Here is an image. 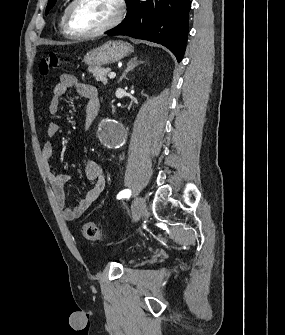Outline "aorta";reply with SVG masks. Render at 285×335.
<instances>
[{
    "label": "aorta",
    "instance_id": "762f6f07",
    "mask_svg": "<svg viewBox=\"0 0 285 335\" xmlns=\"http://www.w3.org/2000/svg\"><path fill=\"white\" fill-rule=\"evenodd\" d=\"M120 125V119H95L93 134L98 137L99 147H109L110 152H117L123 146L128 130Z\"/></svg>",
    "mask_w": 285,
    "mask_h": 335
}]
</instances>
